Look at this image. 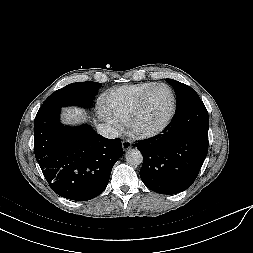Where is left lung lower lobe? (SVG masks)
I'll return each instance as SVG.
<instances>
[{
	"mask_svg": "<svg viewBox=\"0 0 253 253\" xmlns=\"http://www.w3.org/2000/svg\"><path fill=\"white\" fill-rule=\"evenodd\" d=\"M209 116L202 102L177 110L171 124L136 146L143 155L140 177L150 190L176 194L195 181L208 152Z\"/></svg>",
	"mask_w": 253,
	"mask_h": 253,
	"instance_id": "obj_1",
	"label": "left lung lower lobe"
}]
</instances>
